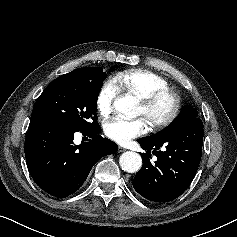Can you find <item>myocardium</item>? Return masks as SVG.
Listing matches in <instances>:
<instances>
[{"label": "myocardium", "instance_id": "1", "mask_svg": "<svg viewBox=\"0 0 237 237\" xmlns=\"http://www.w3.org/2000/svg\"><path fill=\"white\" fill-rule=\"evenodd\" d=\"M166 101L169 107L163 114H156V108ZM144 109V116L153 130H159L172 123L181 108V99L175 92L164 90L152 93L140 99Z\"/></svg>", "mask_w": 237, "mask_h": 237}]
</instances>
